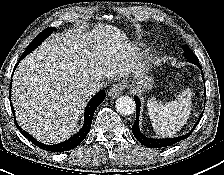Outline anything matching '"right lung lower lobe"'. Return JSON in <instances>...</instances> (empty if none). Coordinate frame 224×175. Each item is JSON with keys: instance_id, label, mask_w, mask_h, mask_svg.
<instances>
[{"instance_id": "right-lung-lower-lobe-1", "label": "right lung lower lobe", "mask_w": 224, "mask_h": 175, "mask_svg": "<svg viewBox=\"0 0 224 175\" xmlns=\"http://www.w3.org/2000/svg\"><path fill=\"white\" fill-rule=\"evenodd\" d=\"M28 54H29V51L26 53H23L20 60L23 59ZM18 63L16 64V66L18 65ZM16 66H15V68H16ZM9 94H10V92H9ZM105 96H106L105 91H103V90L99 91L89 101V103L87 104V106L85 108V121H84V125H83L82 129L77 134H75L74 136L69 138L68 140H66L62 143L56 144V145H46L41 142H38L29 133H27L22 128H20V126H18V124L16 122H15V124H16V127L20 130V132L27 139H29L32 143H34L36 146H38L39 148L47 150V151H51V152L68 151V150H71V149L77 147L87 136V134L89 133L90 128H91V123H92V119L94 116V112H95L96 108L103 102V100L105 99ZM12 110H13V107H12ZM13 114H14V110H13Z\"/></svg>"}]
</instances>
